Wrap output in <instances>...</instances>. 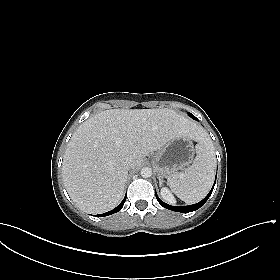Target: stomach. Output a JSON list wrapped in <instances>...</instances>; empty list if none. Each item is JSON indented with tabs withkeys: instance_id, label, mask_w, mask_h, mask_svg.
<instances>
[{
	"instance_id": "stomach-1",
	"label": "stomach",
	"mask_w": 280,
	"mask_h": 280,
	"mask_svg": "<svg viewBox=\"0 0 280 280\" xmlns=\"http://www.w3.org/2000/svg\"><path fill=\"white\" fill-rule=\"evenodd\" d=\"M194 153L192 139L179 136L153 155L152 164L159 177H169L188 166L193 161Z\"/></svg>"
}]
</instances>
